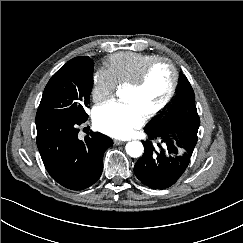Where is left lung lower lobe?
<instances>
[{
	"label": "left lung lower lobe",
	"mask_w": 243,
	"mask_h": 243,
	"mask_svg": "<svg viewBox=\"0 0 243 243\" xmlns=\"http://www.w3.org/2000/svg\"><path fill=\"white\" fill-rule=\"evenodd\" d=\"M171 122L165 129H145L144 154L135 164L136 177L152 189L172 186L186 170L197 143L198 128ZM152 140H159L154 147Z\"/></svg>",
	"instance_id": "0a47b994"
}]
</instances>
